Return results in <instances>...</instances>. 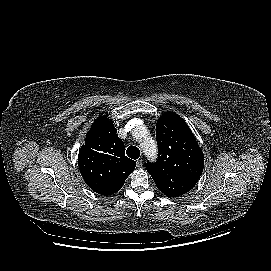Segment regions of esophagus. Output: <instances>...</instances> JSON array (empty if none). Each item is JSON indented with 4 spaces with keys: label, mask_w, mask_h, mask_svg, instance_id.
Returning <instances> with one entry per match:
<instances>
[{
    "label": "esophagus",
    "mask_w": 271,
    "mask_h": 271,
    "mask_svg": "<svg viewBox=\"0 0 271 271\" xmlns=\"http://www.w3.org/2000/svg\"><path fill=\"white\" fill-rule=\"evenodd\" d=\"M136 166H137V168H141L143 166V160L142 159H138L136 161Z\"/></svg>",
    "instance_id": "1"
}]
</instances>
